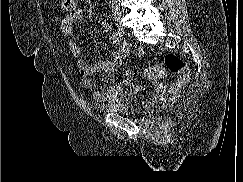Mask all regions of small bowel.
I'll return each mask as SVG.
<instances>
[{"label":"small bowel","instance_id":"small-bowel-1","mask_svg":"<svg viewBox=\"0 0 243 182\" xmlns=\"http://www.w3.org/2000/svg\"><path fill=\"white\" fill-rule=\"evenodd\" d=\"M83 11L78 9L68 13L60 21V30L62 35L67 39L69 49L76 59V64L82 77L81 83L86 88L94 86L91 76L102 72L111 73L120 67L128 56L130 45L123 40L116 39L114 35L110 37V41L115 45V51L108 60L98 61L94 63H86L81 57V48L76 43L74 24L83 19ZM100 26L110 31V24L106 21H101ZM133 86V75L130 72L125 74L123 81H116L105 91H95L93 97L97 101H116L122 93H130Z\"/></svg>","mask_w":243,"mask_h":182}]
</instances>
